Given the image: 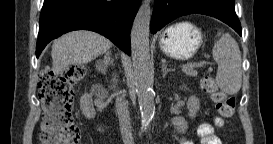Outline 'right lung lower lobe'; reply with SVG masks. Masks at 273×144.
Listing matches in <instances>:
<instances>
[{"mask_svg": "<svg viewBox=\"0 0 273 144\" xmlns=\"http://www.w3.org/2000/svg\"><path fill=\"white\" fill-rule=\"evenodd\" d=\"M140 0H44L39 20L36 56L58 36L91 30L131 54L130 29Z\"/></svg>", "mask_w": 273, "mask_h": 144, "instance_id": "1", "label": "right lung lower lobe"}]
</instances>
